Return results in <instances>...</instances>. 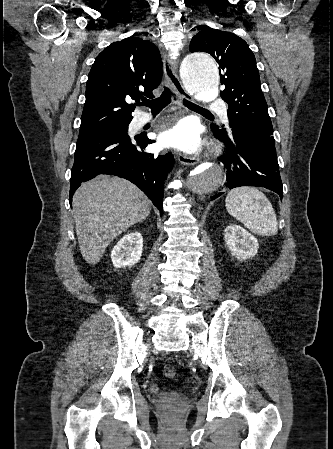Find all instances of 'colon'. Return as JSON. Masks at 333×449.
I'll use <instances>...</instances> for the list:
<instances>
[{
	"instance_id": "obj_1",
	"label": "colon",
	"mask_w": 333,
	"mask_h": 449,
	"mask_svg": "<svg viewBox=\"0 0 333 449\" xmlns=\"http://www.w3.org/2000/svg\"><path fill=\"white\" fill-rule=\"evenodd\" d=\"M163 374L165 377L172 378L176 374V370L172 365H165L163 367Z\"/></svg>"
}]
</instances>
